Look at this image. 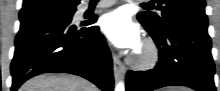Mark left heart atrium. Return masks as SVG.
Masks as SVG:
<instances>
[{
    "label": "left heart atrium",
    "instance_id": "1",
    "mask_svg": "<svg viewBox=\"0 0 220 91\" xmlns=\"http://www.w3.org/2000/svg\"><path fill=\"white\" fill-rule=\"evenodd\" d=\"M101 29L119 48L136 50L140 47L139 29L125 9H117L105 14L101 18Z\"/></svg>",
    "mask_w": 220,
    "mask_h": 91
}]
</instances>
